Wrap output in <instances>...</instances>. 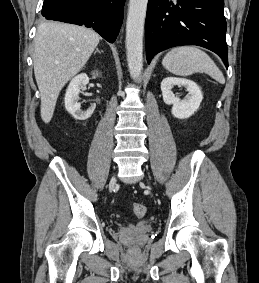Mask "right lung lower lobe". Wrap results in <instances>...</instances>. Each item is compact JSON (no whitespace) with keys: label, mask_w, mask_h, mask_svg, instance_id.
<instances>
[{"label":"right lung lower lobe","mask_w":259,"mask_h":283,"mask_svg":"<svg viewBox=\"0 0 259 283\" xmlns=\"http://www.w3.org/2000/svg\"><path fill=\"white\" fill-rule=\"evenodd\" d=\"M124 3L125 0H45L42 15L48 20L84 24L113 43L123 21Z\"/></svg>","instance_id":"98d812e1"}]
</instances>
